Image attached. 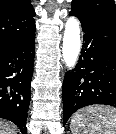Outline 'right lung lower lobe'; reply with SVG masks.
<instances>
[{"label":"right lung lower lobe","instance_id":"1","mask_svg":"<svg viewBox=\"0 0 116 134\" xmlns=\"http://www.w3.org/2000/svg\"><path fill=\"white\" fill-rule=\"evenodd\" d=\"M35 32L0 54V118L16 124L22 134L30 103Z\"/></svg>","mask_w":116,"mask_h":134}]
</instances>
